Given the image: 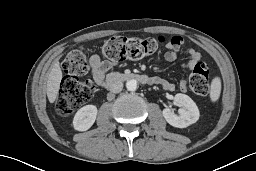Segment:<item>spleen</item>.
Masks as SVG:
<instances>
[{
	"mask_svg": "<svg viewBox=\"0 0 256 171\" xmlns=\"http://www.w3.org/2000/svg\"><path fill=\"white\" fill-rule=\"evenodd\" d=\"M221 92L220 78L215 77L211 83L210 99L212 102H216L219 99Z\"/></svg>",
	"mask_w": 256,
	"mask_h": 171,
	"instance_id": "1",
	"label": "spleen"
}]
</instances>
